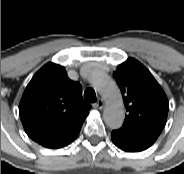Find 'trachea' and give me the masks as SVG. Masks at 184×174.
Here are the masks:
<instances>
[{"label": "trachea", "instance_id": "trachea-1", "mask_svg": "<svg viewBox=\"0 0 184 174\" xmlns=\"http://www.w3.org/2000/svg\"><path fill=\"white\" fill-rule=\"evenodd\" d=\"M84 99L86 102L94 103L96 102V94L92 88H87L84 92Z\"/></svg>", "mask_w": 184, "mask_h": 174}]
</instances>
